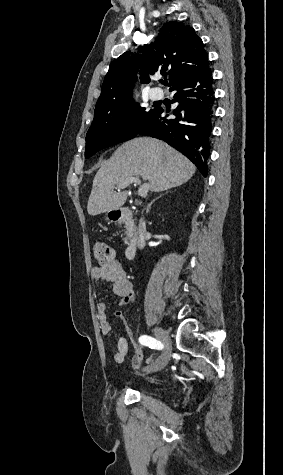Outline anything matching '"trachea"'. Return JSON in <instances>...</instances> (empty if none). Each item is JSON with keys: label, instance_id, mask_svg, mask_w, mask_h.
<instances>
[{"label": "trachea", "instance_id": "1", "mask_svg": "<svg viewBox=\"0 0 283 475\" xmlns=\"http://www.w3.org/2000/svg\"><path fill=\"white\" fill-rule=\"evenodd\" d=\"M163 84H164V85H167V84H168V82H164Z\"/></svg>", "mask_w": 283, "mask_h": 475}]
</instances>
